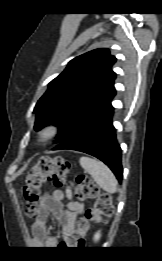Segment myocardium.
<instances>
[{
  "label": "myocardium",
  "instance_id": "obj_1",
  "mask_svg": "<svg viewBox=\"0 0 162 261\" xmlns=\"http://www.w3.org/2000/svg\"><path fill=\"white\" fill-rule=\"evenodd\" d=\"M58 132V128L55 125H48L41 129L38 133V141L47 142L52 139Z\"/></svg>",
  "mask_w": 162,
  "mask_h": 261
}]
</instances>
